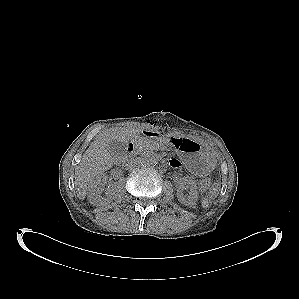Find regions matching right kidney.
Instances as JSON below:
<instances>
[{
    "label": "right kidney",
    "mask_w": 299,
    "mask_h": 299,
    "mask_svg": "<svg viewBox=\"0 0 299 299\" xmlns=\"http://www.w3.org/2000/svg\"><path fill=\"white\" fill-rule=\"evenodd\" d=\"M108 180V176L105 173L99 174L95 179L90 182L87 190L88 200L90 204L99 206L104 202H111L114 199V185H109L105 188V183ZM105 191V197H102V193Z\"/></svg>",
    "instance_id": "1"
}]
</instances>
